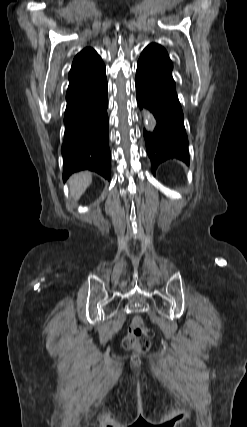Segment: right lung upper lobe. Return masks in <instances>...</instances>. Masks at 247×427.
Returning <instances> with one entry per match:
<instances>
[{
	"label": "right lung upper lobe",
	"instance_id": "1",
	"mask_svg": "<svg viewBox=\"0 0 247 427\" xmlns=\"http://www.w3.org/2000/svg\"><path fill=\"white\" fill-rule=\"evenodd\" d=\"M104 67L100 56L92 48H85L74 58L69 72V85L85 80Z\"/></svg>",
	"mask_w": 247,
	"mask_h": 427
}]
</instances>
